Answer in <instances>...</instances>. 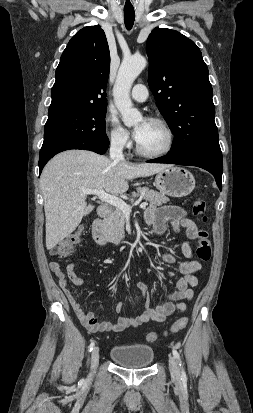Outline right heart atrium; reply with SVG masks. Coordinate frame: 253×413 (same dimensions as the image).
I'll use <instances>...</instances> for the list:
<instances>
[{
  "mask_svg": "<svg viewBox=\"0 0 253 413\" xmlns=\"http://www.w3.org/2000/svg\"><path fill=\"white\" fill-rule=\"evenodd\" d=\"M105 129L110 144L118 149H125L130 145L129 133L122 128L113 115L105 118Z\"/></svg>",
  "mask_w": 253,
  "mask_h": 413,
  "instance_id": "1",
  "label": "right heart atrium"
}]
</instances>
